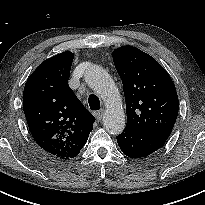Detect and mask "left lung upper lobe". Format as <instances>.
Segmentation results:
<instances>
[{
  "label": "left lung upper lobe",
  "mask_w": 205,
  "mask_h": 205,
  "mask_svg": "<svg viewBox=\"0 0 205 205\" xmlns=\"http://www.w3.org/2000/svg\"><path fill=\"white\" fill-rule=\"evenodd\" d=\"M113 61L123 82L126 128L167 140L179 109L169 74L153 57L132 46L115 49Z\"/></svg>",
  "instance_id": "1"
}]
</instances>
